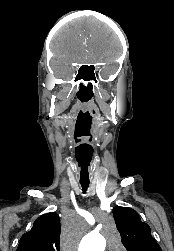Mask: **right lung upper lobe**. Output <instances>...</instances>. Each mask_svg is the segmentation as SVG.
<instances>
[{"label":"right lung upper lobe","instance_id":"1","mask_svg":"<svg viewBox=\"0 0 174 251\" xmlns=\"http://www.w3.org/2000/svg\"><path fill=\"white\" fill-rule=\"evenodd\" d=\"M60 228L55 212L40 216L21 237L17 251H59Z\"/></svg>","mask_w":174,"mask_h":251}]
</instances>
